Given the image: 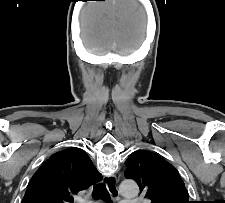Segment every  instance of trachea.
Returning <instances> with one entry per match:
<instances>
[{"label":"trachea","mask_w":225,"mask_h":203,"mask_svg":"<svg viewBox=\"0 0 225 203\" xmlns=\"http://www.w3.org/2000/svg\"><path fill=\"white\" fill-rule=\"evenodd\" d=\"M92 196L95 199H101L105 203H110L111 198L104 184H95L93 186Z\"/></svg>","instance_id":"3493384b"}]
</instances>
